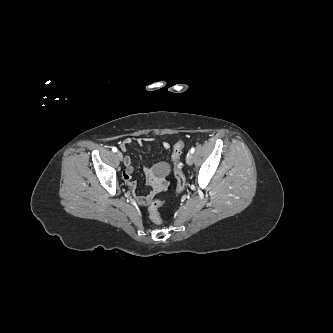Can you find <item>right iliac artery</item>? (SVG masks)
I'll list each match as a JSON object with an SVG mask.
<instances>
[{
	"label": "right iliac artery",
	"mask_w": 333,
	"mask_h": 333,
	"mask_svg": "<svg viewBox=\"0 0 333 333\" xmlns=\"http://www.w3.org/2000/svg\"><path fill=\"white\" fill-rule=\"evenodd\" d=\"M112 151H113V152H117V148H116V147H113V148H112Z\"/></svg>",
	"instance_id": "obj_1"
}]
</instances>
